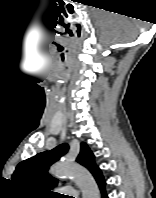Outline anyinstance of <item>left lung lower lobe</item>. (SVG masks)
Returning a JSON list of instances; mask_svg holds the SVG:
<instances>
[{
	"label": "left lung lower lobe",
	"mask_w": 156,
	"mask_h": 198,
	"mask_svg": "<svg viewBox=\"0 0 156 198\" xmlns=\"http://www.w3.org/2000/svg\"><path fill=\"white\" fill-rule=\"evenodd\" d=\"M94 178H95V180H96V182H97V184H98V186H99V188L101 190V198H108V196H107V194L105 192V189H104L106 182L104 180L102 172L99 171Z\"/></svg>",
	"instance_id": "obj_1"
}]
</instances>
